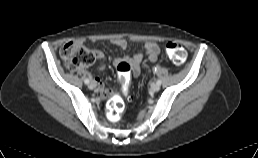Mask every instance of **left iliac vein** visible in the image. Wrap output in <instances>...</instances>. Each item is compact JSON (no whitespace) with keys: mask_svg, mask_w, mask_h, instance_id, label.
I'll use <instances>...</instances> for the list:
<instances>
[{"mask_svg":"<svg viewBox=\"0 0 258 158\" xmlns=\"http://www.w3.org/2000/svg\"><path fill=\"white\" fill-rule=\"evenodd\" d=\"M159 89H160V85H158L157 83H152L151 84V90L153 92H157V91H159Z\"/></svg>","mask_w":258,"mask_h":158,"instance_id":"obj_1","label":"left iliac vein"}]
</instances>
